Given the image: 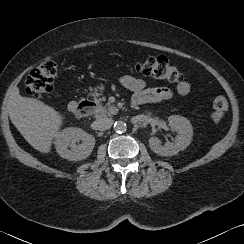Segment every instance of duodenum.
Returning a JSON list of instances; mask_svg holds the SVG:
<instances>
[{"mask_svg":"<svg viewBox=\"0 0 244 244\" xmlns=\"http://www.w3.org/2000/svg\"><path fill=\"white\" fill-rule=\"evenodd\" d=\"M94 108V104L90 101L73 100L68 104L69 111L78 112L82 115L89 114Z\"/></svg>","mask_w":244,"mask_h":244,"instance_id":"obj_1","label":"duodenum"}]
</instances>
